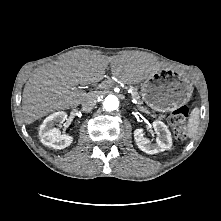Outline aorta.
<instances>
[{
	"instance_id": "1",
	"label": "aorta",
	"mask_w": 221,
	"mask_h": 221,
	"mask_svg": "<svg viewBox=\"0 0 221 221\" xmlns=\"http://www.w3.org/2000/svg\"><path fill=\"white\" fill-rule=\"evenodd\" d=\"M119 107V100L114 95H108L103 100V108L106 111H114L117 110Z\"/></svg>"
}]
</instances>
